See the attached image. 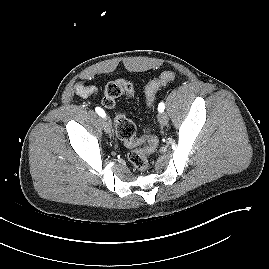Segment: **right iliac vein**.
I'll list each match as a JSON object with an SVG mask.
<instances>
[{
    "instance_id": "1",
    "label": "right iliac vein",
    "mask_w": 269,
    "mask_h": 269,
    "mask_svg": "<svg viewBox=\"0 0 269 269\" xmlns=\"http://www.w3.org/2000/svg\"><path fill=\"white\" fill-rule=\"evenodd\" d=\"M102 123H103V128H104L105 132L111 133V131H112L111 121L108 118H104Z\"/></svg>"
}]
</instances>
